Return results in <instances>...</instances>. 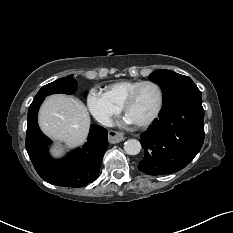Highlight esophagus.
<instances>
[{"mask_svg":"<svg viewBox=\"0 0 233 233\" xmlns=\"http://www.w3.org/2000/svg\"><path fill=\"white\" fill-rule=\"evenodd\" d=\"M124 139H125V136L122 132H117L114 130L108 131V141L111 144L119 143V142L123 141Z\"/></svg>","mask_w":233,"mask_h":233,"instance_id":"34e87169","label":"esophagus"}]
</instances>
